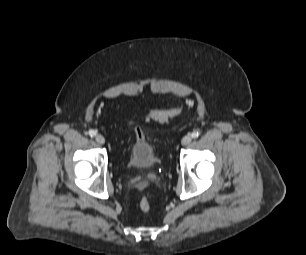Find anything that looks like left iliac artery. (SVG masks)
I'll list each match as a JSON object with an SVG mask.
<instances>
[{"label": "left iliac artery", "instance_id": "44dca946", "mask_svg": "<svg viewBox=\"0 0 306 255\" xmlns=\"http://www.w3.org/2000/svg\"><path fill=\"white\" fill-rule=\"evenodd\" d=\"M198 136H199V132H197V131H195V132H193V133L191 134V137H192V138H198Z\"/></svg>", "mask_w": 306, "mask_h": 255}]
</instances>
